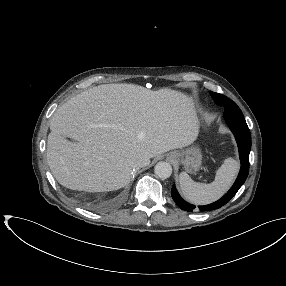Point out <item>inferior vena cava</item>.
Returning <instances> with one entry per match:
<instances>
[{"label": "inferior vena cava", "instance_id": "1", "mask_svg": "<svg viewBox=\"0 0 286 286\" xmlns=\"http://www.w3.org/2000/svg\"><path fill=\"white\" fill-rule=\"evenodd\" d=\"M139 167H141V166H140V165H137V166H136V168H139Z\"/></svg>", "mask_w": 286, "mask_h": 286}]
</instances>
